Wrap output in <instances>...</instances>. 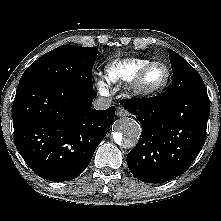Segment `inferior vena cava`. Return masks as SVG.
<instances>
[{
	"instance_id": "inferior-vena-cava-1",
	"label": "inferior vena cava",
	"mask_w": 221,
	"mask_h": 221,
	"mask_svg": "<svg viewBox=\"0 0 221 221\" xmlns=\"http://www.w3.org/2000/svg\"><path fill=\"white\" fill-rule=\"evenodd\" d=\"M111 106V99L99 97L93 101V108L96 110H105Z\"/></svg>"
}]
</instances>
